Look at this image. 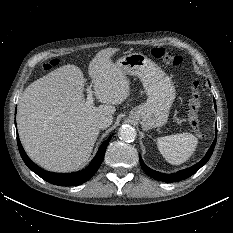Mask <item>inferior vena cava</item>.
Instances as JSON below:
<instances>
[{"label":"inferior vena cava","mask_w":233,"mask_h":233,"mask_svg":"<svg viewBox=\"0 0 233 233\" xmlns=\"http://www.w3.org/2000/svg\"><path fill=\"white\" fill-rule=\"evenodd\" d=\"M113 118L108 117V116H101L100 118L97 119L96 121V126L99 129H105L109 127L112 124Z\"/></svg>","instance_id":"inferior-vena-cava-1"}]
</instances>
